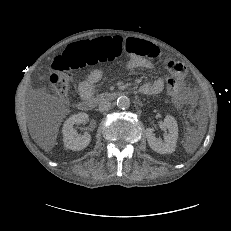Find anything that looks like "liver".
I'll use <instances>...</instances> for the list:
<instances>
[{"instance_id":"6515ba94","label":"liver","mask_w":231,"mask_h":231,"mask_svg":"<svg viewBox=\"0 0 231 231\" xmlns=\"http://www.w3.org/2000/svg\"><path fill=\"white\" fill-rule=\"evenodd\" d=\"M39 145L43 148V149H46V150H50L53 146V141H48V142H39Z\"/></svg>"}]
</instances>
